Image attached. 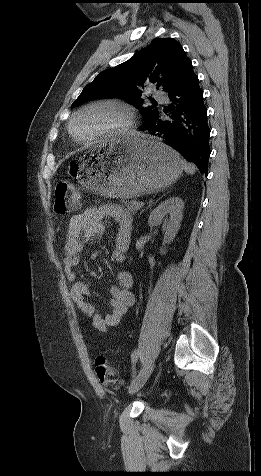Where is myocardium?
<instances>
[{"label": "myocardium", "mask_w": 261, "mask_h": 476, "mask_svg": "<svg viewBox=\"0 0 261 476\" xmlns=\"http://www.w3.org/2000/svg\"><path fill=\"white\" fill-rule=\"evenodd\" d=\"M100 106H109L119 110L124 116L123 122L118 127L108 130L106 132H103L102 134L92 139H89V140L78 139L75 136L74 129H73L75 120L77 119L79 115H81L85 111H88L90 109L100 107ZM135 119H136L135 111L129 104L120 100H116V99H99V100L91 101L81 106L79 109H77L73 113L68 123V132L74 142L81 145H92L108 138L124 135L133 127L135 123Z\"/></svg>", "instance_id": "f54148a6"}]
</instances>
